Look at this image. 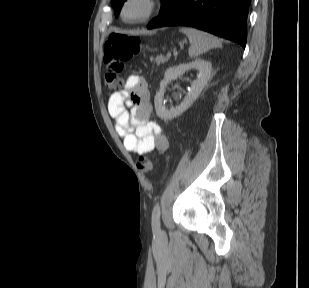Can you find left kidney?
<instances>
[{
	"instance_id": "5707ae66",
	"label": "left kidney",
	"mask_w": 309,
	"mask_h": 288,
	"mask_svg": "<svg viewBox=\"0 0 309 288\" xmlns=\"http://www.w3.org/2000/svg\"><path fill=\"white\" fill-rule=\"evenodd\" d=\"M191 69H196L199 71L197 79L191 83V90L179 106L171 108L170 110L166 109L163 102V97L167 84ZM211 71V63L204 59H196L193 62L180 64L178 66L170 67L167 69L164 74V79L160 82V89L154 98L157 115L161 119L171 120L186 111L197 99L203 88L207 85Z\"/></svg>"
}]
</instances>
